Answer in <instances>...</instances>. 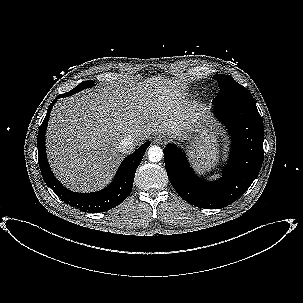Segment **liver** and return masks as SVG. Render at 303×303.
I'll list each match as a JSON object with an SVG mask.
<instances>
[{"label":"liver","mask_w":303,"mask_h":303,"mask_svg":"<svg viewBox=\"0 0 303 303\" xmlns=\"http://www.w3.org/2000/svg\"><path fill=\"white\" fill-rule=\"evenodd\" d=\"M185 90L184 80L158 76L124 86L106 83L61 100L46 135L54 174L72 190H98L123 160L119 145L128 135L135 147L152 134L185 138L200 115Z\"/></svg>","instance_id":"1"}]
</instances>
